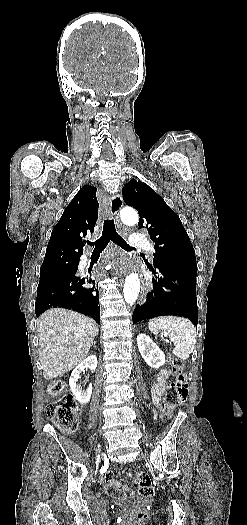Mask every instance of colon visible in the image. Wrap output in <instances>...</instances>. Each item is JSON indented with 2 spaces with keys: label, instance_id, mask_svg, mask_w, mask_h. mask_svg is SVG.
Wrapping results in <instances>:
<instances>
[{
  "label": "colon",
  "instance_id": "obj_1",
  "mask_svg": "<svg viewBox=\"0 0 247 525\" xmlns=\"http://www.w3.org/2000/svg\"><path fill=\"white\" fill-rule=\"evenodd\" d=\"M171 365L175 372L174 379L170 381L166 390L163 409L166 414H171L177 404H182L188 397V377L183 360L173 355ZM49 394L55 399L50 401L45 408V416L58 424L64 431L75 430L78 424L77 405L74 399L65 394L66 386L60 381L51 382L48 386ZM128 478H133L139 488V494L145 498H152L155 494V486L149 476L144 472H129ZM149 510H142L139 513L141 520L149 518Z\"/></svg>",
  "mask_w": 247,
  "mask_h": 525
}]
</instances>
